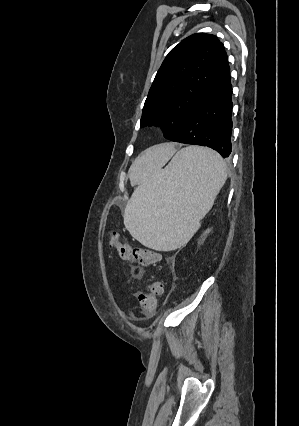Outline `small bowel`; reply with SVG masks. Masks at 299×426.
Here are the masks:
<instances>
[{
    "label": "small bowel",
    "mask_w": 299,
    "mask_h": 426,
    "mask_svg": "<svg viewBox=\"0 0 299 426\" xmlns=\"http://www.w3.org/2000/svg\"><path fill=\"white\" fill-rule=\"evenodd\" d=\"M142 274H143V271H142V270H136V271H135V274H134V277H135V278H139L140 276H142Z\"/></svg>",
    "instance_id": "small-bowel-1"
}]
</instances>
